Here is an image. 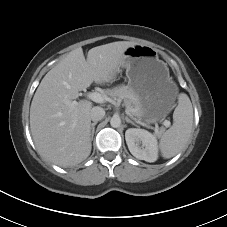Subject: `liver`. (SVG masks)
<instances>
[{"label":"liver","instance_id":"1","mask_svg":"<svg viewBox=\"0 0 227 227\" xmlns=\"http://www.w3.org/2000/svg\"><path fill=\"white\" fill-rule=\"evenodd\" d=\"M134 42L118 41L69 52L42 79L30 107V129L38 152L61 166L79 164L91 153L92 103L67 104L93 82H111L124 62V52Z\"/></svg>","mask_w":227,"mask_h":227}]
</instances>
